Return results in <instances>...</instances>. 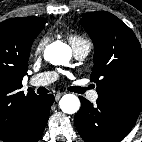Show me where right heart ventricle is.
<instances>
[{
  "mask_svg": "<svg viewBox=\"0 0 142 142\" xmlns=\"http://www.w3.org/2000/svg\"><path fill=\"white\" fill-rule=\"evenodd\" d=\"M68 39H69V42L72 47L88 46L91 48V44H90L89 40L83 36L71 34V35H69Z\"/></svg>",
  "mask_w": 142,
  "mask_h": 142,
  "instance_id": "obj_1",
  "label": "right heart ventricle"
}]
</instances>
